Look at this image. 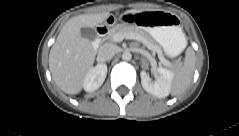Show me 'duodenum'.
<instances>
[{
	"mask_svg": "<svg viewBox=\"0 0 239 136\" xmlns=\"http://www.w3.org/2000/svg\"><path fill=\"white\" fill-rule=\"evenodd\" d=\"M116 20V17L111 16L108 18L106 25L97 28L98 38H96L92 43L93 49L98 48L101 38L104 37L111 30V27L113 26L114 22H116Z\"/></svg>",
	"mask_w": 239,
	"mask_h": 136,
	"instance_id": "410a0bca",
	"label": "duodenum"
}]
</instances>
